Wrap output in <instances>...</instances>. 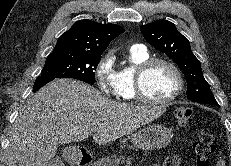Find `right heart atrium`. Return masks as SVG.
Listing matches in <instances>:
<instances>
[{
	"instance_id": "obj_1",
	"label": "right heart atrium",
	"mask_w": 231,
	"mask_h": 166,
	"mask_svg": "<svg viewBox=\"0 0 231 166\" xmlns=\"http://www.w3.org/2000/svg\"><path fill=\"white\" fill-rule=\"evenodd\" d=\"M95 80L100 91L111 97L119 96L118 71L115 69V56L108 51L95 68Z\"/></svg>"
}]
</instances>
